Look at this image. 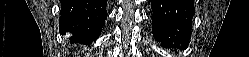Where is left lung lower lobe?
I'll return each mask as SVG.
<instances>
[{"label":"left lung lower lobe","mask_w":249,"mask_h":57,"mask_svg":"<svg viewBox=\"0 0 249 57\" xmlns=\"http://www.w3.org/2000/svg\"><path fill=\"white\" fill-rule=\"evenodd\" d=\"M152 30L162 46L186 48L195 14L193 0H150Z\"/></svg>","instance_id":"1"}]
</instances>
